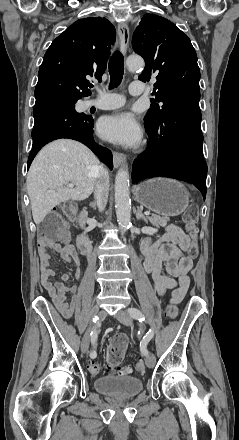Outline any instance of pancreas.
I'll return each mask as SVG.
<instances>
[{"label":"pancreas","instance_id":"obj_1","mask_svg":"<svg viewBox=\"0 0 239 440\" xmlns=\"http://www.w3.org/2000/svg\"><path fill=\"white\" fill-rule=\"evenodd\" d=\"M148 220H150L152 226H156V228H159V226H167V222H170V218H161V216H147Z\"/></svg>","mask_w":239,"mask_h":440}]
</instances>
